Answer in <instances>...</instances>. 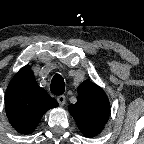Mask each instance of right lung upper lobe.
Returning a JSON list of instances; mask_svg holds the SVG:
<instances>
[{"instance_id":"cb5924a9","label":"right lung upper lobe","mask_w":144,"mask_h":144,"mask_svg":"<svg viewBox=\"0 0 144 144\" xmlns=\"http://www.w3.org/2000/svg\"><path fill=\"white\" fill-rule=\"evenodd\" d=\"M59 104L40 86L32 70L25 66L6 90L5 110L11 125L22 134L34 131L46 111Z\"/></svg>"}]
</instances>
